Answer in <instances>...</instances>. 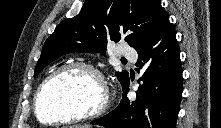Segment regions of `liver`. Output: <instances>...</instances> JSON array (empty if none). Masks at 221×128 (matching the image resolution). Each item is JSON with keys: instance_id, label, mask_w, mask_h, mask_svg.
<instances>
[{"instance_id": "obj_1", "label": "liver", "mask_w": 221, "mask_h": 128, "mask_svg": "<svg viewBox=\"0 0 221 128\" xmlns=\"http://www.w3.org/2000/svg\"><path fill=\"white\" fill-rule=\"evenodd\" d=\"M69 128H91L90 125H75V126H71Z\"/></svg>"}]
</instances>
